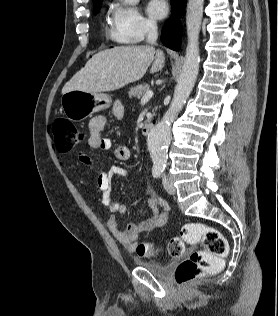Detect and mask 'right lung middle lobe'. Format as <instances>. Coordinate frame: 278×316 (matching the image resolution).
<instances>
[{"label":"right lung middle lobe","mask_w":278,"mask_h":316,"mask_svg":"<svg viewBox=\"0 0 278 316\" xmlns=\"http://www.w3.org/2000/svg\"><path fill=\"white\" fill-rule=\"evenodd\" d=\"M101 3L102 1H99L98 3H96L95 5H93L94 7V13L96 14L97 12H99L100 8H101Z\"/></svg>","instance_id":"obj_1"}]
</instances>
